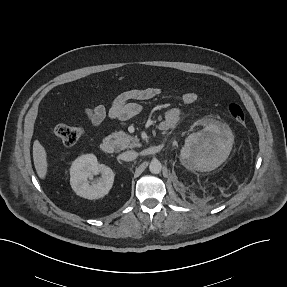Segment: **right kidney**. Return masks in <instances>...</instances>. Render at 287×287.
I'll return each instance as SVG.
<instances>
[{
  "mask_svg": "<svg viewBox=\"0 0 287 287\" xmlns=\"http://www.w3.org/2000/svg\"><path fill=\"white\" fill-rule=\"evenodd\" d=\"M98 174H101V177L93 180V176ZM70 176V184L75 193L80 197L93 200L109 193L115 175L111 168L99 164L95 155L86 154L72 163Z\"/></svg>",
  "mask_w": 287,
  "mask_h": 287,
  "instance_id": "obj_1",
  "label": "right kidney"
}]
</instances>
